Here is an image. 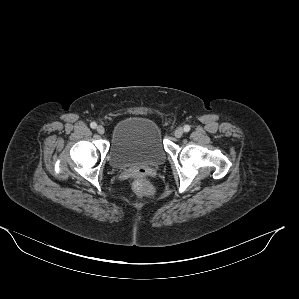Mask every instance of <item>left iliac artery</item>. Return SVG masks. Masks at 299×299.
I'll use <instances>...</instances> for the list:
<instances>
[{"instance_id":"44dca946","label":"left iliac artery","mask_w":299,"mask_h":299,"mask_svg":"<svg viewBox=\"0 0 299 299\" xmlns=\"http://www.w3.org/2000/svg\"><path fill=\"white\" fill-rule=\"evenodd\" d=\"M184 131L185 132H189L190 131V126L189 125H185L184 126Z\"/></svg>"}]
</instances>
